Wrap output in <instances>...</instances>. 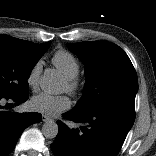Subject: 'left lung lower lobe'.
<instances>
[{
  "label": "left lung lower lobe",
  "mask_w": 156,
  "mask_h": 156,
  "mask_svg": "<svg viewBox=\"0 0 156 156\" xmlns=\"http://www.w3.org/2000/svg\"><path fill=\"white\" fill-rule=\"evenodd\" d=\"M80 123L70 129L57 121L59 132L51 150L55 156H117L132 127L135 112L120 106H105L91 111L63 114Z\"/></svg>",
  "instance_id": "obj_1"
}]
</instances>
